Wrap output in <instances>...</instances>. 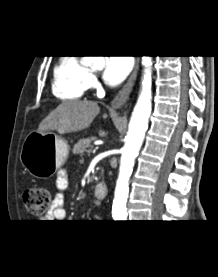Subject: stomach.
<instances>
[{
    "label": "stomach",
    "mask_w": 218,
    "mask_h": 277,
    "mask_svg": "<svg viewBox=\"0 0 218 277\" xmlns=\"http://www.w3.org/2000/svg\"><path fill=\"white\" fill-rule=\"evenodd\" d=\"M69 154L67 141L53 132H31L25 138L20 161L34 177L45 179L57 171Z\"/></svg>",
    "instance_id": "obj_1"
}]
</instances>
